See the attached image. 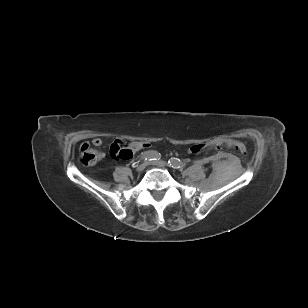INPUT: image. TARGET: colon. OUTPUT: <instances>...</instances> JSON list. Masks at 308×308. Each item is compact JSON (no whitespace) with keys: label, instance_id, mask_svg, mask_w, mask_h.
Segmentation results:
<instances>
[{"label":"colon","instance_id":"1","mask_svg":"<svg viewBox=\"0 0 308 308\" xmlns=\"http://www.w3.org/2000/svg\"><path fill=\"white\" fill-rule=\"evenodd\" d=\"M117 145H111V155L116 159L128 160L132 158L133 153L139 149H149L153 146L152 142L132 140L131 143L126 144L123 141L117 140ZM228 147L240 152L243 155L247 154V150L244 144L233 139H213L202 144H196L190 147L191 153H199L205 149H218L221 147ZM102 154L92 148L88 143L82 144L80 148L79 159L85 166H91L100 161Z\"/></svg>","mask_w":308,"mask_h":308}]
</instances>
